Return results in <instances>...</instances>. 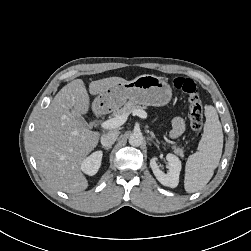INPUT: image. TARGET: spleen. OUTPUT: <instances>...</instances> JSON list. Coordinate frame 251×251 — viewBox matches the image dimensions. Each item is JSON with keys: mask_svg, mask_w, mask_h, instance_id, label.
I'll return each mask as SVG.
<instances>
[{"mask_svg": "<svg viewBox=\"0 0 251 251\" xmlns=\"http://www.w3.org/2000/svg\"><path fill=\"white\" fill-rule=\"evenodd\" d=\"M204 134L198 151L190 155L185 167L184 188L188 193L201 190L212 178L223 148V132L216 109L207 106Z\"/></svg>", "mask_w": 251, "mask_h": 251, "instance_id": "spleen-1", "label": "spleen"}]
</instances>
